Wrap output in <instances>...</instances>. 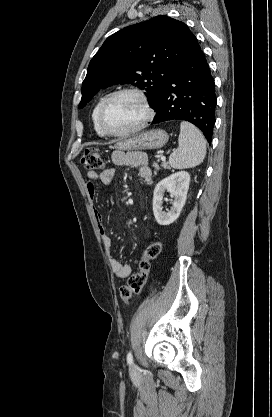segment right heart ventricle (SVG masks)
<instances>
[{
	"mask_svg": "<svg viewBox=\"0 0 272 417\" xmlns=\"http://www.w3.org/2000/svg\"><path fill=\"white\" fill-rule=\"evenodd\" d=\"M107 98V95L102 96L96 103L93 112H92V122H93V126L94 129L96 131V133L100 136H103V134L101 133L99 126H98V113H99V109L102 105V103L104 102V100Z\"/></svg>",
	"mask_w": 272,
	"mask_h": 417,
	"instance_id": "e07e8e85",
	"label": "right heart ventricle"
}]
</instances>
